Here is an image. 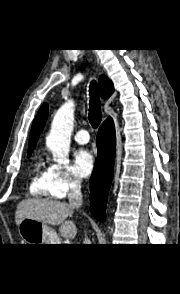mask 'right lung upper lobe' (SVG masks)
<instances>
[{
    "label": "right lung upper lobe",
    "instance_id": "cb5924a9",
    "mask_svg": "<svg viewBox=\"0 0 180 294\" xmlns=\"http://www.w3.org/2000/svg\"><path fill=\"white\" fill-rule=\"evenodd\" d=\"M98 85H99V91H100L101 97L105 99L109 98L114 90L112 82L106 76L102 75L99 78ZM47 116H48V107H47V104H44L40 108L32 126V130H31V134L29 138V145H28L29 156L31 155V151L36 146V142L45 125Z\"/></svg>",
    "mask_w": 180,
    "mask_h": 294
}]
</instances>
